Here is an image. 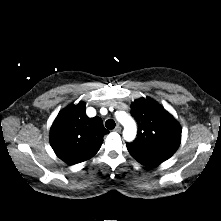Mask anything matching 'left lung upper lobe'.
Returning a JSON list of instances; mask_svg holds the SVG:
<instances>
[{
    "mask_svg": "<svg viewBox=\"0 0 221 221\" xmlns=\"http://www.w3.org/2000/svg\"><path fill=\"white\" fill-rule=\"evenodd\" d=\"M131 114L138 124L137 138L126 145L131 156L147 166L169 159L181 142L179 123L150 98L135 100Z\"/></svg>",
    "mask_w": 221,
    "mask_h": 221,
    "instance_id": "obj_1",
    "label": "left lung upper lobe"
}]
</instances>
